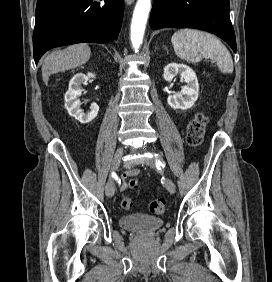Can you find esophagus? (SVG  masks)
Wrapping results in <instances>:
<instances>
[{
    "label": "esophagus",
    "mask_w": 272,
    "mask_h": 282,
    "mask_svg": "<svg viewBox=\"0 0 272 282\" xmlns=\"http://www.w3.org/2000/svg\"><path fill=\"white\" fill-rule=\"evenodd\" d=\"M125 2L127 5H131L134 2V0H125Z\"/></svg>",
    "instance_id": "esophagus-1"
}]
</instances>
